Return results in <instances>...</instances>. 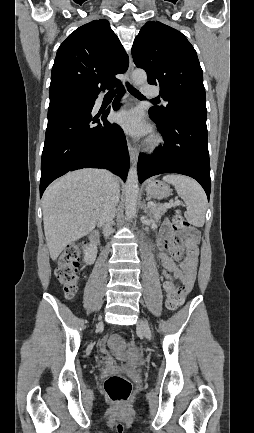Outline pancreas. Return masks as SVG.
<instances>
[{
    "instance_id": "cf45deb5",
    "label": "pancreas",
    "mask_w": 254,
    "mask_h": 433,
    "mask_svg": "<svg viewBox=\"0 0 254 433\" xmlns=\"http://www.w3.org/2000/svg\"><path fill=\"white\" fill-rule=\"evenodd\" d=\"M167 208L168 207L165 205L154 203V205L149 208V216L153 217L155 220H159L161 216L164 215Z\"/></svg>"
}]
</instances>
